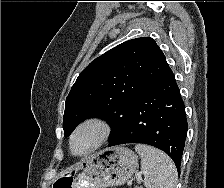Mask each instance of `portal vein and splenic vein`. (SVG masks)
I'll return each instance as SVG.
<instances>
[{
  "instance_id": "1",
  "label": "portal vein and splenic vein",
  "mask_w": 224,
  "mask_h": 188,
  "mask_svg": "<svg viewBox=\"0 0 224 188\" xmlns=\"http://www.w3.org/2000/svg\"><path fill=\"white\" fill-rule=\"evenodd\" d=\"M137 180H138V181H141V180H142V177H141V176H138V177H137ZM127 184H128V185H132V181H128Z\"/></svg>"
}]
</instances>
